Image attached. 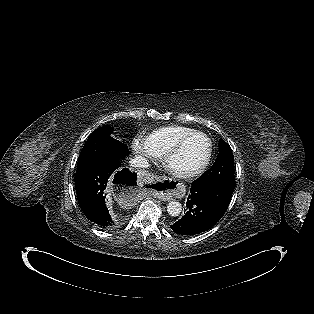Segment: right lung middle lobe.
Returning a JSON list of instances; mask_svg holds the SVG:
<instances>
[{
    "instance_id": "obj_1",
    "label": "right lung middle lobe",
    "mask_w": 314,
    "mask_h": 314,
    "mask_svg": "<svg viewBox=\"0 0 314 314\" xmlns=\"http://www.w3.org/2000/svg\"><path fill=\"white\" fill-rule=\"evenodd\" d=\"M113 129L104 126L94 130L79 155L77 172L113 157L123 158L129 154L127 146L112 138Z\"/></svg>"
}]
</instances>
